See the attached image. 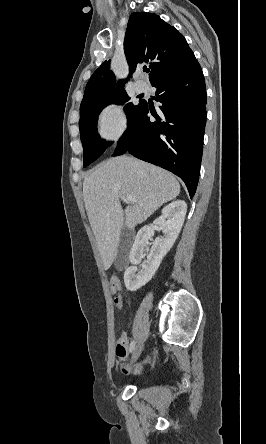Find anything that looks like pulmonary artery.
<instances>
[{"label": "pulmonary artery", "instance_id": "obj_1", "mask_svg": "<svg viewBox=\"0 0 266 444\" xmlns=\"http://www.w3.org/2000/svg\"><path fill=\"white\" fill-rule=\"evenodd\" d=\"M134 87H135V90H136L138 93L144 92L145 89H146V85H145V83H143V82H141V81H135V82H134Z\"/></svg>", "mask_w": 266, "mask_h": 444}]
</instances>
